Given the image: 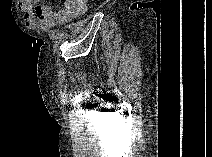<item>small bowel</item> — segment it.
<instances>
[{"instance_id": "obj_1", "label": "small bowel", "mask_w": 212, "mask_h": 157, "mask_svg": "<svg viewBox=\"0 0 212 157\" xmlns=\"http://www.w3.org/2000/svg\"><path fill=\"white\" fill-rule=\"evenodd\" d=\"M19 9L25 24L28 25L36 19L42 28L51 29L65 25L73 18L84 13L86 2L84 0H65L61 9L54 10L47 3L33 6L29 1H22Z\"/></svg>"}]
</instances>
